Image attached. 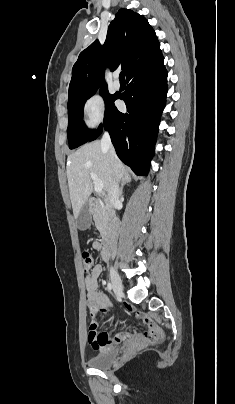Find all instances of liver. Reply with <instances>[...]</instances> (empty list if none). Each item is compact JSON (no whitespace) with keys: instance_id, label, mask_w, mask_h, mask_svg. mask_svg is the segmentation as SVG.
<instances>
[{"instance_id":"1","label":"liver","mask_w":235,"mask_h":404,"mask_svg":"<svg viewBox=\"0 0 235 404\" xmlns=\"http://www.w3.org/2000/svg\"><path fill=\"white\" fill-rule=\"evenodd\" d=\"M66 173L75 217L93 191L91 173L103 182L104 193H109L114 181H123L129 175L124 164L117 157L112 160L98 140L84 144L68 156Z\"/></svg>"}]
</instances>
